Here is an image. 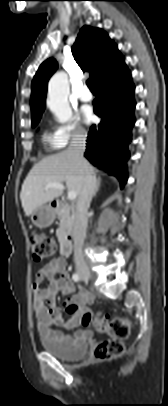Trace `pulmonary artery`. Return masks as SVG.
Returning <instances> with one entry per match:
<instances>
[{
    "instance_id": "obj_1",
    "label": "pulmonary artery",
    "mask_w": 168,
    "mask_h": 406,
    "mask_svg": "<svg viewBox=\"0 0 168 406\" xmlns=\"http://www.w3.org/2000/svg\"><path fill=\"white\" fill-rule=\"evenodd\" d=\"M79 99L83 102H90L92 100V93L86 86H83L79 92Z\"/></svg>"
}]
</instances>
